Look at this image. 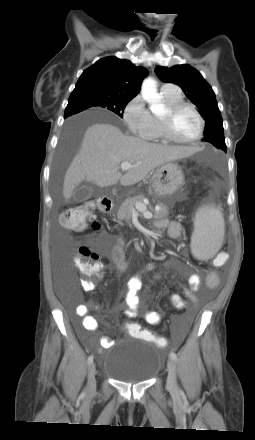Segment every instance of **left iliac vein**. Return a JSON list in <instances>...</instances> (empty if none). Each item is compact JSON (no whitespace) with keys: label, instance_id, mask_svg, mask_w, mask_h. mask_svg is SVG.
I'll return each mask as SVG.
<instances>
[{"label":"left iliac vein","instance_id":"1","mask_svg":"<svg viewBox=\"0 0 255 440\" xmlns=\"http://www.w3.org/2000/svg\"><path fill=\"white\" fill-rule=\"evenodd\" d=\"M167 369H168L167 388L171 391H175L177 387L176 364L173 359L168 360Z\"/></svg>","mask_w":255,"mask_h":440}]
</instances>
